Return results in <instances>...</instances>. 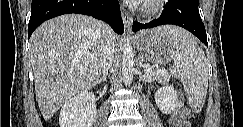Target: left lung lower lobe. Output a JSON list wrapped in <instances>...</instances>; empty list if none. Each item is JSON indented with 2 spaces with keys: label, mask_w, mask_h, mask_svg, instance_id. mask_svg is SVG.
Listing matches in <instances>:
<instances>
[{
  "label": "left lung lower lobe",
  "mask_w": 243,
  "mask_h": 127,
  "mask_svg": "<svg viewBox=\"0 0 243 127\" xmlns=\"http://www.w3.org/2000/svg\"><path fill=\"white\" fill-rule=\"evenodd\" d=\"M198 4L199 0H169L158 19L146 24L134 21L133 32L162 24H173L187 29L208 47L206 30L199 14Z\"/></svg>",
  "instance_id": "left-lung-lower-lobe-1"
}]
</instances>
